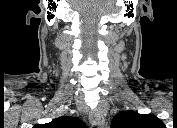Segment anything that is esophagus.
I'll list each match as a JSON object with an SVG mask.
<instances>
[{"instance_id":"1","label":"esophagus","mask_w":177,"mask_h":128,"mask_svg":"<svg viewBox=\"0 0 177 128\" xmlns=\"http://www.w3.org/2000/svg\"><path fill=\"white\" fill-rule=\"evenodd\" d=\"M90 122L93 126H98L99 128H104V117L99 110H94L89 115Z\"/></svg>"}]
</instances>
